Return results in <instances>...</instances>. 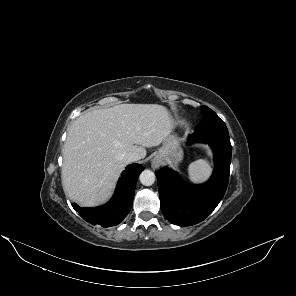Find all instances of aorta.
I'll return each instance as SVG.
<instances>
[{
	"mask_svg": "<svg viewBox=\"0 0 296 296\" xmlns=\"http://www.w3.org/2000/svg\"><path fill=\"white\" fill-rule=\"evenodd\" d=\"M155 178L156 176L151 170H144L139 176L140 182L144 186H151L152 184H154Z\"/></svg>",
	"mask_w": 296,
	"mask_h": 296,
	"instance_id": "obj_1",
	"label": "aorta"
}]
</instances>
